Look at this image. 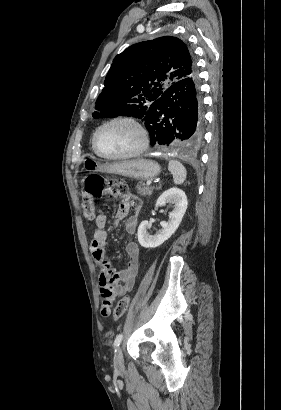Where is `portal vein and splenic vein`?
Returning <instances> with one entry per match:
<instances>
[{"instance_id":"1","label":"portal vein and splenic vein","mask_w":281,"mask_h":410,"mask_svg":"<svg viewBox=\"0 0 281 410\" xmlns=\"http://www.w3.org/2000/svg\"><path fill=\"white\" fill-rule=\"evenodd\" d=\"M151 184V181H147V185H150Z\"/></svg>"}]
</instances>
